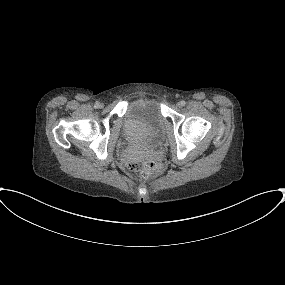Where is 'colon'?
Returning a JSON list of instances; mask_svg holds the SVG:
<instances>
[{
    "label": "colon",
    "instance_id": "5ec220e1",
    "mask_svg": "<svg viewBox=\"0 0 285 285\" xmlns=\"http://www.w3.org/2000/svg\"><path fill=\"white\" fill-rule=\"evenodd\" d=\"M129 167L132 170L139 169L141 176L143 178H148L150 175H152L159 169V164L155 160L148 159L142 162L140 165L136 163H130Z\"/></svg>",
    "mask_w": 285,
    "mask_h": 285
}]
</instances>
